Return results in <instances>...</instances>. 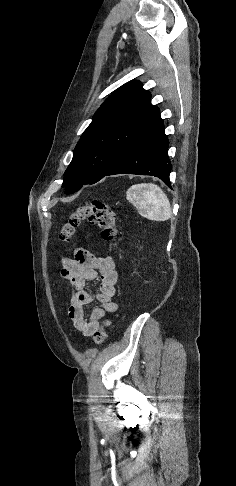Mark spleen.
I'll list each match as a JSON object with an SVG mask.
<instances>
[{
	"label": "spleen",
	"mask_w": 236,
	"mask_h": 486,
	"mask_svg": "<svg viewBox=\"0 0 236 486\" xmlns=\"http://www.w3.org/2000/svg\"><path fill=\"white\" fill-rule=\"evenodd\" d=\"M126 198L143 217L153 221L168 220L171 215L170 202L160 187L153 183H141L131 186Z\"/></svg>",
	"instance_id": "spleen-1"
}]
</instances>
